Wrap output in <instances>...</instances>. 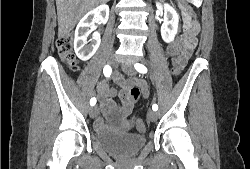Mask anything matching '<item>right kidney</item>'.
<instances>
[{"mask_svg":"<svg viewBox=\"0 0 250 169\" xmlns=\"http://www.w3.org/2000/svg\"><path fill=\"white\" fill-rule=\"evenodd\" d=\"M109 16L108 4H99L93 10H89L87 14H84L83 18L79 20L74 36V50L81 60H89L93 54H95L100 42L101 36L98 30H95L92 34V40H87L89 26L93 28L94 22H102L106 24ZM90 42V44H88Z\"/></svg>","mask_w":250,"mask_h":169,"instance_id":"ca27d5eb","label":"right kidney"}]
</instances>
